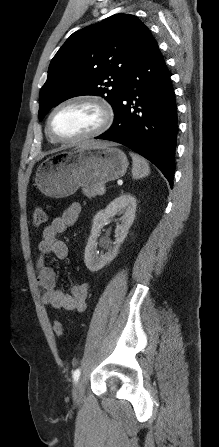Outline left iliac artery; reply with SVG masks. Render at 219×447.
Returning <instances> with one entry per match:
<instances>
[{"label":"left iliac artery","mask_w":219,"mask_h":447,"mask_svg":"<svg viewBox=\"0 0 219 447\" xmlns=\"http://www.w3.org/2000/svg\"><path fill=\"white\" fill-rule=\"evenodd\" d=\"M80 369H76L74 372H73V379H74V381L75 382H77L78 381V379H79V377H80Z\"/></svg>","instance_id":"44dca946"}]
</instances>
